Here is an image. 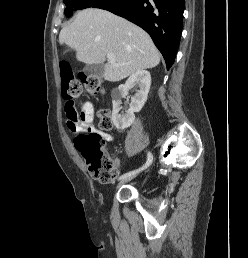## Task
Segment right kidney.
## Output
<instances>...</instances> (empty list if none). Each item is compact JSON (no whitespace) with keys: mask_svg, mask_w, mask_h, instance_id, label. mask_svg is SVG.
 <instances>
[{"mask_svg":"<svg viewBox=\"0 0 248 258\" xmlns=\"http://www.w3.org/2000/svg\"><path fill=\"white\" fill-rule=\"evenodd\" d=\"M139 83L140 90L131 98L130 108L125 114H119L121 109V98L128 94V90L135 84ZM151 85L150 73L146 70H140L132 74L124 85H120L112 92L113 111L112 121L116 128L125 129L130 127L135 120V112H139L144 106Z\"/></svg>","mask_w":248,"mask_h":258,"instance_id":"1","label":"right kidney"}]
</instances>
